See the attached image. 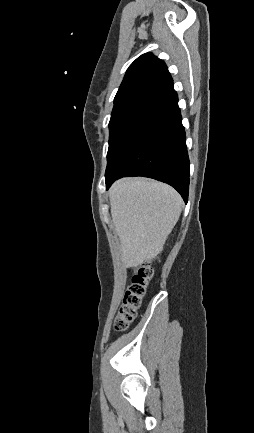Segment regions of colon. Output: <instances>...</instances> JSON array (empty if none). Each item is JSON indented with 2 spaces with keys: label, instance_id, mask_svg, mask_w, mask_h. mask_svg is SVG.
Here are the masks:
<instances>
[{
  "label": "colon",
  "instance_id": "colon-1",
  "mask_svg": "<svg viewBox=\"0 0 254 433\" xmlns=\"http://www.w3.org/2000/svg\"><path fill=\"white\" fill-rule=\"evenodd\" d=\"M153 276V269L149 264L140 266L133 275L131 284L127 289L123 303L117 313L114 329L118 332L127 329L133 321L138 309L141 306L142 299L146 294L148 281Z\"/></svg>",
  "mask_w": 254,
  "mask_h": 433
}]
</instances>
